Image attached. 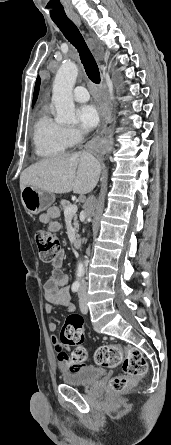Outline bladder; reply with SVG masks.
Instances as JSON below:
<instances>
[{"mask_svg":"<svg viewBox=\"0 0 171 445\" xmlns=\"http://www.w3.org/2000/svg\"><path fill=\"white\" fill-rule=\"evenodd\" d=\"M106 370L94 366H84L74 371H64L62 373V380L67 385H91L103 376H105Z\"/></svg>","mask_w":171,"mask_h":445,"instance_id":"obj_1","label":"bladder"}]
</instances>
